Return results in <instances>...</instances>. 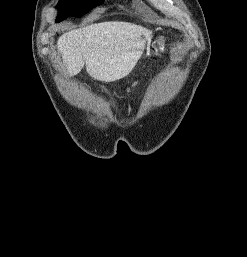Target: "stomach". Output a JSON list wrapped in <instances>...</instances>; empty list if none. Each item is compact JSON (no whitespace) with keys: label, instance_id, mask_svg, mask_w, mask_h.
<instances>
[{"label":"stomach","instance_id":"obj_1","mask_svg":"<svg viewBox=\"0 0 247 257\" xmlns=\"http://www.w3.org/2000/svg\"><path fill=\"white\" fill-rule=\"evenodd\" d=\"M165 37L164 36H160V37H157L154 41V44H157V46L159 47V49H163L164 46H165Z\"/></svg>","mask_w":247,"mask_h":257}]
</instances>
